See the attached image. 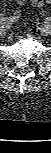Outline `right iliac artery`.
I'll return each instance as SVG.
<instances>
[{
  "instance_id": "1",
  "label": "right iliac artery",
  "mask_w": 51,
  "mask_h": 153,
  "mask_svg": "<svg viewBox=\"0 0 51 153\" xmlns=\"http://www.w3.org/2000/svg\"><path fill=\"white\" fill-rule=\"evenodd\" d=\"M2 22L6 23L7 20L5 18H1Z\"/></svg>"
}]
</instances>
